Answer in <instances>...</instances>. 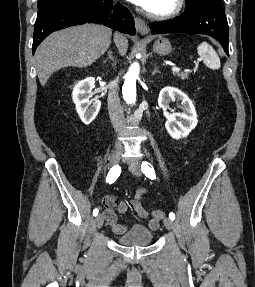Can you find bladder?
Wrapping results in <instances>:
<instances>
[{"label": "bladder", "instance_id": "bladder-1", "mask_svg": "<svg viewBox=\"0 0 255 287\" xmlns=\"http://www.w3.org/2000/svg\"><path fill=\"white\" fill-rule=\"evenodd\" d=\"M116 239L124 246H146L152 242L153 232L142 224H134Z\"/></svg>", "mask_w": 255, "mask_h": 287}]
</instances>
